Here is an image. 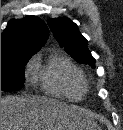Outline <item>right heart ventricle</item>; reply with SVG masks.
<instances>
[{
	"instance_id": "1",
	"label": "right heart ventricle",
	"mask_w": 123,
	"mask_h": 130,
	"mask_svg": "<svg viewBox=\"0 0 123 130\" xmlns=\"http://www.w3.org/2000/svg\"><path fill=\"white\" fill-rule=\"evenodd\" d=\"M31 73L45 93L63 100L79 101L87 90L82 69L58 52L36 56L31 63Z\"/></svg>"
}]
</instances>
